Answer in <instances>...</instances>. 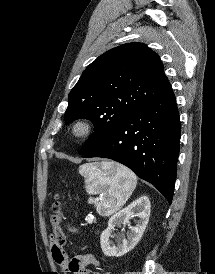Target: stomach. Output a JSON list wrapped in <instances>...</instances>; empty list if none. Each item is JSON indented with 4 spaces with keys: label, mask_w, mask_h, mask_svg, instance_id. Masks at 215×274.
<instances>
[{
    "label": "stomach",
    "mask_w": 215,
    "mask_h": 274,
    "mask_svg": "<svg viewBox=\"0 0 215 274\" xmlns=\"http://www.w3.org/2000/svg\"><path fill=\"white\" fill-rule=\"evenodd\" d=\"M112 165H113V167H116L118 164H116V163H114V162H110Z\"/></svg>",
    "instance_id": "obj_1"
}]
</instances>
